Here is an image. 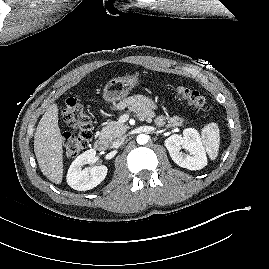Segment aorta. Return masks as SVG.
<instances>
[{
  "label": "aorta",
  "instance_id": "1",
  "mask_svg": "<svg viewBox=\"0 0 269 269\" xmlns=\"http://www.w3.org/2000/svg\"><path fill=\"white\" fill-rule=\"evenodd\" d=\"M147 142H148L147 135H145V134H139V135L137 136V143H138L139 145H144V144H146Z\"/></svg>",
  "mask_w": 269,
  "mask_h": 269
}]
</instances>
